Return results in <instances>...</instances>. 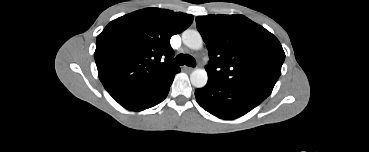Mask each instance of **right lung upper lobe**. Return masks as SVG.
I'll return each instance as SVG.
<instances>
[{
  "label": "right lung upper lobe",
  "mask_w": 369,
  "mask_h": 152,
  "mask_svg": "<svg viewBox=\"0 0 369 152\" xmlns=\"http://www.w3.org/2000/svg\"><path fill=\"white\" fill-rule=\"evenodd\" d=\"M193 16L146 8L110 22L98 35L94 53L99 78L114 98L158 82L179 67L172 63L170 38Z\"/></svg>",
  "instance_id": "cb5924a9"
}]
</instances>
